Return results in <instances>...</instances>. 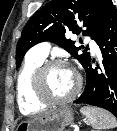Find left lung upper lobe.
Instances as JSON below:
<instances>
[{"label":"left lung upper lobe","instance_id":"left-lung-upper-lobe-1","mask_svg":"<svg viewBox=\"0 0 117 131\" xmlns=\"http://www.w3.org/2000/svg\"><path fill=\"white\" fill-rule=\"evenodd\" d=\"M111 0H51L37 11L25 25L16 49V67H19L25 53L35 44L51 41L65 48L82 66L90 59L85 49L75 47V41L67 40L69 31L96 39L104 13ZM80 25L85 27L82 30Z\"/></svg>","mask_w":117,"mask_h":131}]
</instances>
